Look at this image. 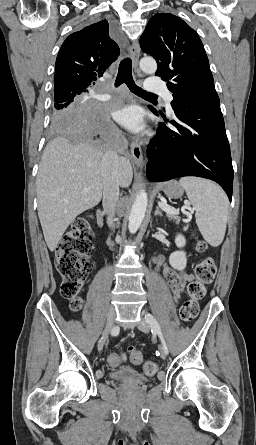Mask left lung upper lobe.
<instances>
[{
	"instance_id": "left-lung-upper-lobe-1",
	"label": "left lung upper lobe",
	"mask_w": 256,
	"mask_h": 445,
	"mask_svg": "<svg viewBox=\"0 0 256 445\" xmlns=\"http://www.w3.org/2000/svg\"><path fill=\"white\" fill-rule=\"evenodd\" d=\"M144 53L157 61V76L167 81L176 102L220 107L213 76L198 34L172 14H156L140 38Z\"/></svg>"
}]
</instances>
